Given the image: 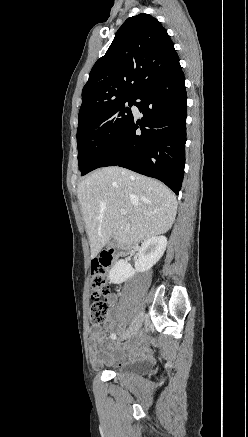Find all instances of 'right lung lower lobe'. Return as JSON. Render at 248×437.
<instances>
[{
	"instance_id": "1",
	"label": "right lung lower lobe",
	"mask_w": 248,
	"mask_h": 437,
	"mask_svg": "<svg viewBox=\"0 0 248 437\" xmlns=\"http://www.w3.org/2000/svg\"><path fill=\"white\" fill-rule=\"evenodd\" d=\"M184 81L179 57L175 55L135 96L134 105L143 114L142 119L132 118L97 158L91 171L105 166L124 167L159 179L178 195L185 165L187 96Z\"/></svg>"
}]
</instances>
